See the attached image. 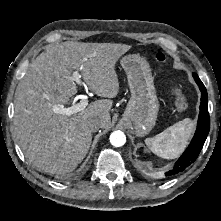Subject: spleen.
Segmentation results:
<instances>
[{
	"label": "spleen",
	"mask_w": 221,
	"mask_h": 221,
	"mask_svg": "<svg viewBox=\"0 0 221 221\" xmlns=\"http://www.w3.org/2000/svg\"><path fill=\"white\" fill-rule=\"evenodd\" d=\"M194 129V123L189 118L175 123L158 135L146 138L147 147L157 156L164 159H174L185 149Z\"/></svg>",
	"instance_id": "obj_1"
}]
</instances>
